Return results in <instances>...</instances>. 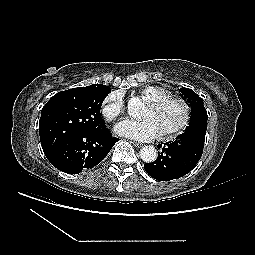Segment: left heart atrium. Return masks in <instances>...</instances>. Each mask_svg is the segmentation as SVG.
Masks as SVG:
<instances>
[{"label": "left heart atrium", "mask_w": 255, "mask_h": 255, "mask_svg": "<svg viewBox=\"0 0 255 255\" xmlns=\"http://www.w3.org/2000/svg\"><path fill=\"white\" fill-rule=\"evenodd\" d=\"M115 130L120 135L139 141H151L162 134L160 126L154 118L125 119L116 125Z\"/></svg>", "instance_id": "39dd6f15"}]
</instances>
